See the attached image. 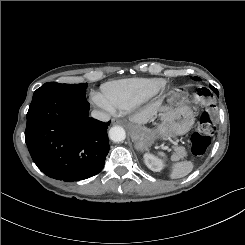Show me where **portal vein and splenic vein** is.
<instances>
[{
    "instance_id": "1",
    "label": "portal vein and splenic vein",
    "mask_w": 245,
    "mask_h": 245,
    "mask_svg": "<svg viewBox=\"0 0 245 245\" xmlns=\"http://www.w3.org/2000/svg\"><path fill=\"white\" fill-rule=\"evenodd\" d=\"M173 144H176V142L172 141Z\"/></svg>"
}]
</instances>
